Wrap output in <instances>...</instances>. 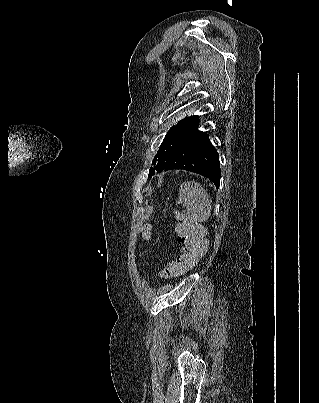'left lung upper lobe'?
Returning <instances> with one entry per match:
<instances>
[{"instance_id":"1","label":"left lung upper lobe","mask_w":319,"mask_h":403,"mask_svg":"<svg viewBox=\"0 0 319 403\" xmlns=\"http://www.w3.org/2000/svg\"><path fill=\"white\" fill-rule=\"evenodd\" d=\"M199 116H190L179 121L176 126L167 132L157 154L155 155L152 164L154 167L150 168L149 177L155 174V171L162 172L168 163L170 162L172 156L178 149V147L185 140L188 132L198 121Z\"/></svg>"}]
</instances>
